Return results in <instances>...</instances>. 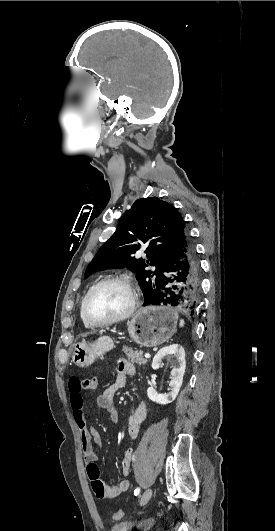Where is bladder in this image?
Returning a JSON list of instances; mask_svg holds the SVG:
<instances>
[{"label": "bladder", "instance_id": "31cf9c89", "mask_svg": "<svg viewBox=\"0 0 275 531\" xmlns=\"http://www.w3.org/2000/svg\"><path fill=\"white\" fill-rule=\"evenodd\" d=\"M154 524L153 519H145L136 524H133L131 521L122 520L113 523V529L111 531H128V528L136 525L139 528V531H151V528Z\"/></svg>", "mask_w": 275, "mask_h": 531}]
</instances>
